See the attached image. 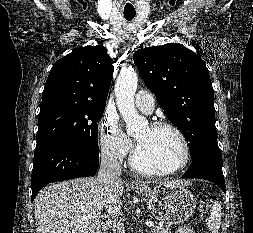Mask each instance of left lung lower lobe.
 Here are the masks:
<instances>
[{"instance_id":"left-lung-lower-lobe-1","label":"left lung lower lobe","mask_w":253,"mask_h":233,"mask_svg":"<svg viewBox=\"0 0 253 233\" xmlns=\"http://www.w3.org/2000/svg\"><path fill=\"white\" fill-rule=\"evenodd\" d=\"M192 164L182 178H200L218 185L224 192L225 181L222 172L221 152L204 150L192 158Z\"/></svg>"}]
</instances>
